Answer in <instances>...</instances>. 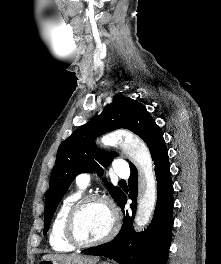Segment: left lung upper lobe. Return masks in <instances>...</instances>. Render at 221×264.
Segmentation results:
<instances>
[{"mask_svg": "<svg viewBox=\"0 0 221 264\" xmlns=\"http://www.w3.org/2000/svg\"><path fill=\"white\" fill-rule=\"evenodd\" d=\"M118 128L131 130L141 137L148 145L151 156L164 141L160 128L144 105L129 97H116L99 116L79 127L59 146L49 189L45 194L44 234L47 233L50 220L75 177L84 172L97 171L102 174L97 162L106 167L116 156L115 152L98 149L94 140L98 135ZM129 166L131 171H137L131 162ZM105 185L119 204L124 196L122 190L109 182Z\"/></svg>", "mask_w": 221, "mask_h": 264, "instance_id": "left-lung-upper-lobe-1", "label": "left lung upper lobe"}]
</instances>
